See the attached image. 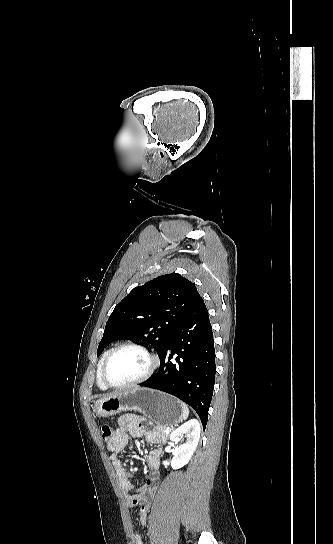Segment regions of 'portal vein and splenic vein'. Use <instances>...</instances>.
<instances>
[{
  "mask_svg": "<svg viewBox=\"0 0 333 544\" xmlns=\"http://www.w3.org/2000/svg\"><path fill=\"white\" fill-rule=\"evenodd\" d=\"M165 433H169V429H166V430H165Z\"/></svg>",
  "mask_w": 333,
  "mask_h": 544,
  "instance_id": "18ae733b",
  "label": "portal vein and splenic vein"
}]
</instances>
